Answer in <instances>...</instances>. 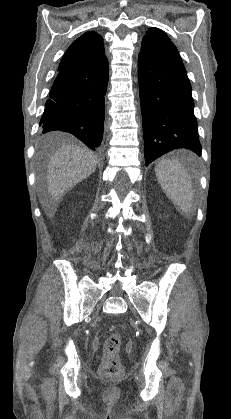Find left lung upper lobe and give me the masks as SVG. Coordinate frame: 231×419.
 <instances>
[{
    "label": "left lung upper lobe",
    "mask_w": 231,
    "mask_h": 419,
    "mask_svg": "<svg viewBox=\"0 0 231 419\" xmlns=\"http://www.w3.org/2000/svg\"><path fill=\"white\" fill-rule=\"evenodd\" d=\"M140 54L153 61L173 66H183L182 59L176 46L168 36L158 28L153 27L146 32V35L142 40Z\"/></svg>",
    "instance_id": "obj_1"
}]
</instances>
